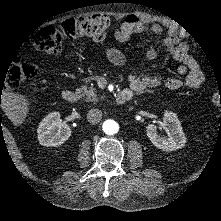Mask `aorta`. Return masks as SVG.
Listing matches in <instances>:
<instances>
[{"instance_id":"1","label":"aorta","mask_w":221,"mask_h":221,"mask_svg":"<svg viewBox=\"0 0 221 221\" xmlns=\"http://www.w3.org/2000/svg\"><path fill=\"white\" fill-rule=\"evenodd\" d=\"M102 129L106 134L113 135L119 131V124L112 119H107L104 121Z\"/></svg>"}]
</instances>
